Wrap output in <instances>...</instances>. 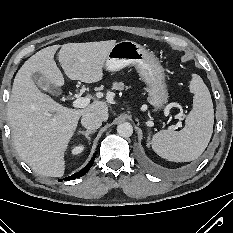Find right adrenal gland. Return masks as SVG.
<instances>
[{"label": "right adrenal gland", "mask_w": 233, "mask_h": 233, "mask_svg": "<svg viewBox=\"0 0 233 233\" xmlns=\"http://www.w3.org/2000/svg\"><path fill=\"white\" fill-rule=\"evenodd\" d=\"M95 131H92V130H87V131H79L78 135L79 134H82L84 135L90 142L91 138H90V134L94 133Z\"/></svg>", "instance_id": "1"}]
</instances>
